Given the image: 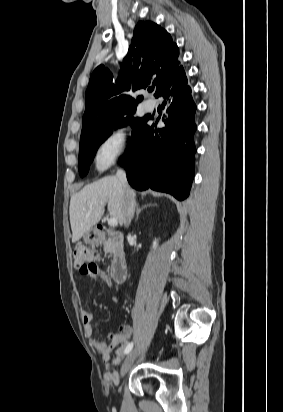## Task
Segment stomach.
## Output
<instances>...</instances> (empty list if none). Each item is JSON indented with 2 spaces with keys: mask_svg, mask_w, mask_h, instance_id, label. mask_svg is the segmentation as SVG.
Returning <instances> with one entry per match:
<instances>
[{
  "mask_svg": "<svg viewBox=\"0 0 283 412\" xmlns=\"http://www.w3.org/2000/svg\"><path fill=\"white\" fill-rule=\"evenodd\" d=\"M83 239L87 244H95L97 243V238L94 233L91 231L84 234Z\"/></svg>",
  "mask_w": 283,
  "mask_h": 412,
  "instance_id": "0dacf381",
  "label": "stomach"
}]
</instances>
